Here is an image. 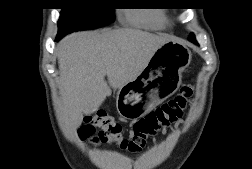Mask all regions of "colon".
Wrapping results in <instances>:
<instances>
[{
    "label": "colon",
    "mask_w": 252,
    "mask_h": 169,
    "mask_svg": "<svg viewBox=\"0 0 252 169\" xmlns=\"http://www.w3.org/2000/svg\"><path fill=\"white\" fill-rule=\"evenodd\" d=\"M192 95V87H183L176 97L139 119L128 136L111 116L102 111L93 112L86 116L79 137L93 144L111 143L129 152H140L153 136L182 118Z\"/></svg>",
    "instance_id": "1"
}]
</instances>
